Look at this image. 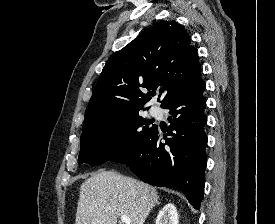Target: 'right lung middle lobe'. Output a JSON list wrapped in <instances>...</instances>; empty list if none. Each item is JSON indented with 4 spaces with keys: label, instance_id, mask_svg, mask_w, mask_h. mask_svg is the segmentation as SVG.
Returning <instances> with one entry per match:
<instances>
[{
    "label": "right lung middle lobe",
    "instance_id": "dd1d6c3e",
    "mask_svg": "<svg viewBox=\"0 0 275 224\" xmlns=\"http://www.w3.org/2000/svg\"><path fill=\"white\" fill-rule=\"evenodd\" d=\"M139 110L107 118L82 129L79 163L100 165L136 145L155 125Z\"/></svg>",
    "mask_w": 275,
    "mask_h": 224
}]
</instances>
